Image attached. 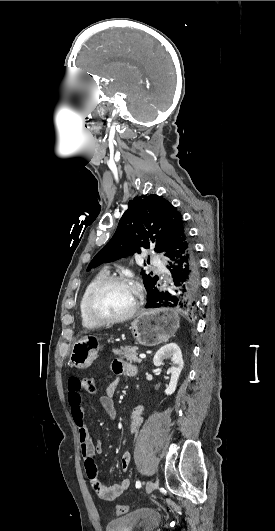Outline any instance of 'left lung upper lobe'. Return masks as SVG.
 <instances>
[{"mask_svg": "<svg viewBox=\"0 0 275 531\" xmlns=\"http://www.w3.org/2000/svg\"><path fill=\"white\" fill-rule=\"evenodd\" d=\"M182 227V216L166 199L155 194L135 197L129 201V208L119 220L115 234L95 255L88 269L133 254L140 251L141 247L148 249L154 246L155 252L166 255ZM141 274L147 291V303H150L159 291L156 286L159 278L144 271Z\"/></svg>", "mask_w": 275, "mask_h": 531, "instance_id": "1", "label": "left lung upper lobe"}]
</instances>
